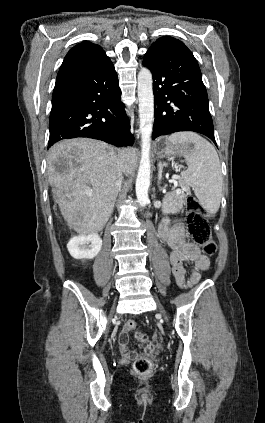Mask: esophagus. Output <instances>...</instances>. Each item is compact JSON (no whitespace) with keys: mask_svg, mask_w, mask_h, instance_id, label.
I'll return each instance as SVG.
<instances>
[{"mask_svg":"<svg viewBox=\"0 0 265 423\" xmlns=\"http://www.w3.org/2000/svg\"><path fill=\"white\" fill-rule=\"evenodd\" d=\"M136 135H137V137H139V135H140L139 129L136 130Z\"/></svg>","mask_w":265,"mask_h":423,"instance_id":"obj_1","label":"esophagus"}]
</instances>
